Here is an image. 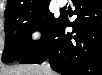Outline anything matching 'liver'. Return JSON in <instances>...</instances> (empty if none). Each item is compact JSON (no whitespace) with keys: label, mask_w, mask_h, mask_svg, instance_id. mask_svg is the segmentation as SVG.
Listing matches in <instances>:
<instances>
[{"label":"liver","mask_w":102,"mask_h":75,"mask_svg":"<svg viewBox=\"0 0 102 75\" xmlns=\"http://www.w3.org/2000/svg\"><path fill=\"white\" fill-rule=\"evenodd\" d=\"M1 75H56L47 64H27L2 70Z\"/></svg>","instance_id":"liver-1"}]
</instances>
